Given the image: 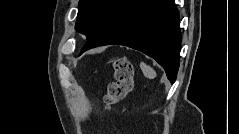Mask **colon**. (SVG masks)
I'll return each mask as SVG.
<instances>
[{
    "label": "colon",
    "instance_id": "colon-1",
    "mask_svg": "<svg viewBox=\"0 0 239 134\" xmlns=\"http://www.w3.org/2000/svg\"><path fill=\"white\" fill-rule=\"evenodd\" d=\"M114 80L110 82L104 103L107 108L122 101L133 88L134 68L126 58L115 59L112 63Z\"/></svg>",
    "mask_w": 239,
    "mask_h": 134
}]
</instances>
